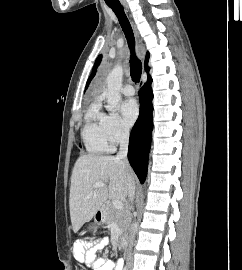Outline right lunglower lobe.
I'll list each match as a JSON object with an SVG mask.
<instances>
[{"label":"right lung lower lobe","instance_id":"98d812e1","mask_svg":"<svg viewBox=\"0 0 242 270\" xmlns=\"http://www.w3.org/2000/svg\"><path fill=\"white\" fill-rule=\"evenodd\" d=\"M152 79L140 89V114L129 139L128 159L141 183L145 181L152 133Z\"/></svg>","mask_w":242,"mask_h":270}]
</instances>
